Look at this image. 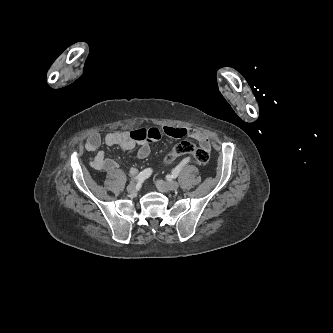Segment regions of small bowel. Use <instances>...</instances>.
Returning <instances> with one entry per match:
<instances>
[{
  "label": "small bowel",
  "instance_id": "obj_1",
  "mask_svg": "<svg viewBox=\"0 0 333 333\" xmlns=\"http://www.w3.org/2000/svg\"><path fill=\"white\" fill-rule=\"evenodd\" d=\"M161 134H165L174 138L191 137L195 139L201 148L207 151L211 148V143L206 134L203 132L186 127H172L163 126L161 128H142L135 131H115L105 135L104 142L108 146H118L124 151L133 150L137 147V157L139 159H145L150 154L149 143L160 138ZM102 138L98 133H92L86 140V150L92 152L91 165L98 171H106L108 173H114L118 164L115 160L107 158L100 146ZM189 158L183 162L188 163Z\"/></svg>",
  "mask_w": 333,
  "mask_h": 333
}]
</instances>
